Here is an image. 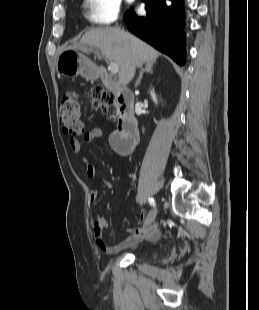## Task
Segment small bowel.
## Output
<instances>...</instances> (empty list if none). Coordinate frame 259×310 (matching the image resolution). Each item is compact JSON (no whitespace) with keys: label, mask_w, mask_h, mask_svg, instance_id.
<instances>
[{"label":"small bowel","mask_w":259,"mask_h":310,"mask_svg":"<svg viewBox=\"0 0 259 310\" xmlns=\"http://www.w3.org/2000/svg\"><path fill=\"white\" fill-rule=\"evenodd\" d=\"M102 136V129L95 127L83 135V140L87 143L95 142ZM69 145L74 154L79 156L80 162L85 169V173L89 178H96L97 173L94 163L87 157L81 155V142L75 138L69 139ZM108 189H113V184L104 182ZM97 191H92L89 195V200L95 202L97 200ZM109 225L108 220L103 216H97L93 222V233L95 242L98 248L106 254H116L124 249H129L136 246L143 238L155 241L159 239L161 227L159 224H150L144 229H127L128 236L115 245H108L104 239V229Z\"/></svg>","instance_id":"small-bowel-1"}]
</instances>
